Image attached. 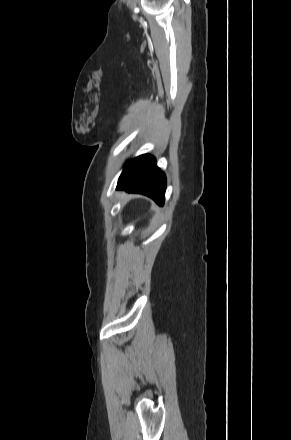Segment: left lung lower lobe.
<instances>
[{
	"mask_svg": "<svg viewBox=\"0 0 291 440\" xmlns=\"http://www.w3.org/2000/svg\"><path fill=\"white\" fill-rule=\"evenodd\" d=\"M117 189L147 195L162 206L165 199L166 178L157 167L155 159L151 155L144 154L125 165Z\"/></svg>",
	"mask_w": 291,
	"mask_h": 440,
	"instance_id": "1",
	"label": "left lung lower lobe"
}]
</instances>
